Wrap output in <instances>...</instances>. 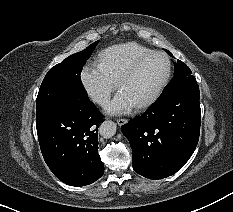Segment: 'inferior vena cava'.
<instances>
[{
	"instance_id": "602c4592",
	"label": "inferior vena cava",
	"mask_w": 233,
	"mask_h": 212,
	"mask_svg": "<svg viewBox=\"0 0 233 212\" xmlns=\"http://www.w3.org/2000/svg\"><path fill=\"white\" fill-rule=\"evenodd\" d=\"M97 101L101 104H104L108 101V98L107 97H103V96H100L98 97Z\"/></svg>"
}]
</instances>
